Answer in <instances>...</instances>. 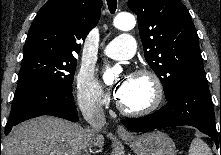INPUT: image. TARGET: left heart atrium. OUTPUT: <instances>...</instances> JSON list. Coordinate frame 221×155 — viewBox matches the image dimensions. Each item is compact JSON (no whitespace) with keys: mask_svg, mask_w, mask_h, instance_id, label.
<instances>
[{"mask_svg":"<svg viewBox=\"0 0 221 155\" xmlns=\"http://www.w3.org/2000/svg\"><path fill=\"white\" fill-rule=\"evenodd\" d=\"M130 79V76H124L117 82L114 93L119 99L126 93L130 84Z\"/></svg>","mask_w":221,"mask_h":155,"instance_id":"obj_1","label":"left heart atrium"}]
</instances>
